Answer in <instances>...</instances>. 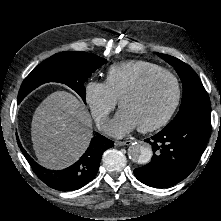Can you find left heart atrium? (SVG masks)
Returning <instances> with one entry per match:
<instances>
[{
    "mask_svg": "<svg viewBox=\"0 0 221 221\" xmlns=\"http://www.w3.org/2000/svg\"><path fill=\"white\" fill-rule=\"evenodd\" d=\"M137 127L136 121L125 110L120 109L116 116L105 125V131L114 137H122Z\"/></svg>",
    "mask_w": 221,
    "mask_h": 221,
    "instance_id": "39dd6f15",
    "label": "left heart atrium"
}]
</instances>
